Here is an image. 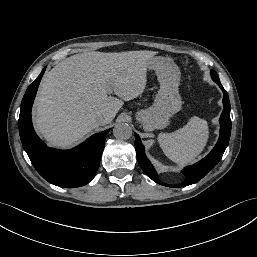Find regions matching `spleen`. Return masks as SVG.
Segmentation results:
<instances>
[{
  "mask_svg": "<svg viewBox=\"0 0 257 257\" xmlns=\"http://www.w3.org/2000/svg\"><path fill=\"white\" fill-rule=\"evenodd\" d=\"M209 138L208 123L196 116L172 133H162L158 137L164 154L178 165H186L195 160L204 150Z\"/></svg>",
  "mask_w": 257,
  "mask_h": 257,
  "instance_id": "1",
  "label": "spleen"
}]
</instances>
